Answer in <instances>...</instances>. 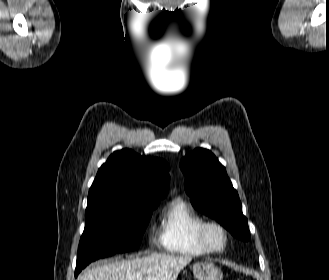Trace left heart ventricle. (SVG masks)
<instances>
[{
  "label": "left heart ventricle",
  "mask_w": 329,
  "mask_h": 280,
  "mask_svg": "<svg viewBox=\"0 0 329 280\" xmlns=\"http://www.w3.org/2000/svg\"><path fill=\"white\" fill-rule=\"evenodd\" d=\"M208 238L211 244L215 247H220L223 244V235L217 229H210L208 232Z\"/></svg>",
  "instance_id": "1"
}]
</instances>
